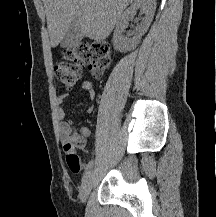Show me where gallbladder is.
Masks as SVG:
<instances>
[{
	"mask_svg": "<svg viewBox=\"0 0 216 217\" xmlns=\"http://www.w3.org/2000/svg\"><path fill=\"white\" fill-rule=\"evenodd\" d=\"M83 33L81 30V26L77 20L74 18L71 22V25L61 40L62 48H74L83 38Z\"/></svg>",
	"mask_w": 216,
	"mask_h": 217,
	"instance_id": "bac80fb5",
	"label": "gallbladder"
}]
</instances>
